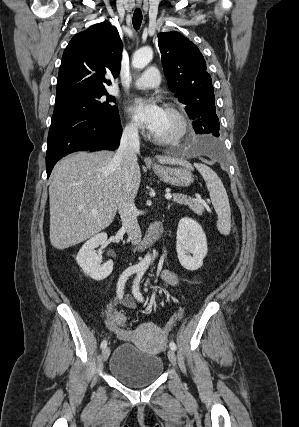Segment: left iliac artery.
Listing matches in <instances>:
<instances>
[{"label": "left iliac artery", "instance_id": "1", "mask_svg": "<svg viewBox=\"0 0 299 427\" xmlns=\"http://www.w3.org/2000/svg\"><path fill=\"white\" fill-rule=\"evenodd\" d=\"M144 272H145V270L139 269V271L137 273V276H136V278L134 280V283H133V288H132V292H133L135 298L138 301H140V302L144 301L143 295H142V293L140 292V289H139V284H140V281L142 279V276H143ZM169 346H170V348L172 350H176L177 349L176 344L173 341L170 342Z\"/></svg>", "mask_w": 299, "mask_h": 427}]
</instances>
